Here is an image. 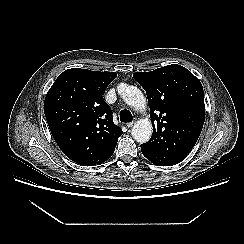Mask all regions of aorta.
Returning <instances> with one entry per match:
<instances>
[{
	"label": "aorta",
	"instance_id": "aorta-1",
	"mask_svg": "<svg viewBox=\"0 0 244 244\" xmlns=\"http://www.w3.org/2000/svg\"><path fill=\"white\" fill-rule=\"evenodd\" d=\"M118 93L124 102L137 110L146 108V99L142 91L132 85L120 84ZM152 135V124L149 119L138 120L132 128V137L139 143H146Z\"/></svg>",
	"mask_w": 244,
	"mask_h": 244
}]
</instances>
